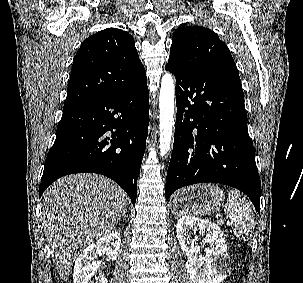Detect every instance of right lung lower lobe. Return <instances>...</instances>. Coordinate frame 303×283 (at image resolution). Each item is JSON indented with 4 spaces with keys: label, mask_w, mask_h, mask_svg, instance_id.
I'll use <instances>...</instances> for the list:
<instances>
[{
    "label": "right lung lower lobe",
    "mask_w": 303,
    "mask_h": 283,
    "mask_svg": "<svg viewBox=\"0 0 303 283\" xmlns=\"http://www.w3.org/2000/svg\"><path fill=\"white\" fill-rule=\"evenodd\" d=\"M147 78L123 92L64 110L47 154L39 197L58 178L98 173L118 183L133 205L149 124Z\"/></svg>",
    "instance_id": "1"
}]
</instances>
